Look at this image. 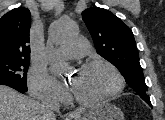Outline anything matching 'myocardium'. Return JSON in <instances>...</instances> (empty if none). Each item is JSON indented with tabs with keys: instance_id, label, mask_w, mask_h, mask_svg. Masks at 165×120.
<instances>
[{
	"instance_id": "myocardium-1",
	"label": "myocardium",
	"mask_w": 165,
	"mask_h": 120,
	"mask_svg": "<svg viewBox=\"0 0 165 120\" xmlns=\"http://www.w3.org/2000/svg\"><path fill=\"white\" fill-rule=\"evenodd\" d=\"M98 66L106 67L107 69H109L112 72V74L115 77V86L113 87L112 90H110L105 95L100 96V97L95 98V99L81 98L72 90L73 99L77 103H79L81 105L100 104V103H103L105 101L110 100L111 98L115 97L116 95H118L122 91V89L124 87V78H123L120 70L113 63H111L110 61L104 60V59L90 60V61L85 62L81 66V69H89V68L98 67Z\"/></svg>"
}]
</instances>
